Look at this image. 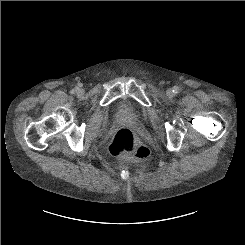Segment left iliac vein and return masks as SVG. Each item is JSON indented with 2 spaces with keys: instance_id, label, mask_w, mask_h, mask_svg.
I'll list each match as a JSON object with an SVG mask.
<instances>
[{
  "instance_id": "left-iliac-vein-1",
  "label": "left iliac vein",
  "mask_w": 245,
  "mask_h": 245,
  "mask_svg": "<svg viewBox=\"0 0 245 245\" xmlns=\"http://www.w3.org/2000/svg\"><path fill=\"white\" fill-rule=\"evenodd\" d=\"M167 94H168L169 96H172V95H173V91H172V90H168V91H167Z\"/></svg>"
}]
</instances>
